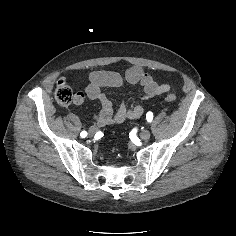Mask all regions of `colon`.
<instances>
[{
    "label": "colon",
    "instance_id": "1",
    "mask_svg": "<svg viewBox=\"0 0 236 236\" xmlns=\"http://www.w3.org/2000/svg\"><path fill=\"white\" fill-rule=\"evenodd\" d=\"M55 99L61 106H68L73 100V94L69 86L64 81H59L55 89ZM177 100L175 93H169L165 96V101L174 102Z\"/></svg>",
    "mask_w": 236,
    "mask_h": 236
}]
</instances>
